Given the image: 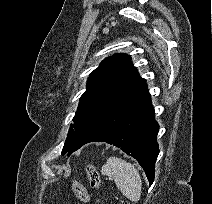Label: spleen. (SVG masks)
<instances>
[{"label": "spleen", "instance_id": "3e777b00", "mask_svg": "<svg viewBox=\"0 0 212 204\" xmlns=\"http://www.w3.org/2000/svg\"><path fill=\"white\" fill-rule=\"evenodd\" d=\"M101 173L113 178L118 189L130 201H139L142 181L134 165L121 158L109 157L102 166Z\"/></svg>", "mask_w": 212, "mask_h": 204}]
</instances>
